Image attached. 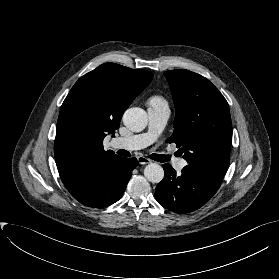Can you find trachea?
I'll use <instances>...</instances> for the list:
<instances>
[{"instance_id":"obj_1","label":"trachea","mask_w":279,"mask_h":279,"mask_svg":"<svg viewBox=\"0 0 279 279\" xmlns=\"http://www.w3.org/2000/svg\"><path fill=\"white\" fill-rule=\"evenodd\" d=\"M119 154L122 155V156H126L124 154V152H122V151H120ZM153 159L158 161V162H167L168 160H170V156L169 155L154 154Z\"/></svg>"}]
</instances>
